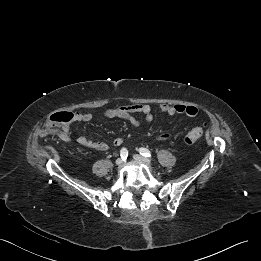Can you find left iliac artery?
<instances>
[{
	"instance_id": "1",
	"label": "left iliac artery",
	"mask_w": 261,
	"mask_h": 261,
	"mask_svg": "<svg viewBox=\"0 0 261 261\" xmlns=\"http://www.w3.org/2000/svg\"><path fill=\"white\" fill-rule=\"evenodd\" d=\"M139 152L141 155H143L145 157H151V152L146 148H140Z\"/></svg>"
}]
</instances>
